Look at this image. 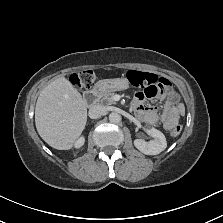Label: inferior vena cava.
I'll return each mask as SVG.
<instances>
[{
  "label": "inferior vena cava",
  "instance_id": "obj_1",
  "mask_svg": "<svg viewBox=\"0 0 223 223\" xmlns=\"http://www.w3.org/2000/svg\"><path fill=\"white\" fill-rule=\"evenodd\" d=\"M105 109L102 105L97 104L89 109V117L92 119H96L101 117V115L104 113Z\"/></svg>",
  "mask_w": 223,
  "mask_h": 223
}]
</instances>
